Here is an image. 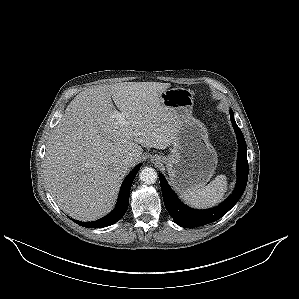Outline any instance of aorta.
Listing matches in <instances>:
<instances>
[{"label": "aorta", "mask_w": 299, "mask_h": 299, "mask_svg": "<svg viewBox=\"0 0 299 299\" xmlns=\"http://www.w3.org/2000/svg\"><path fill=\"white\" fill-rule=\"evenodd\" d=\"M139 176H140V180L148 185L154 184L158 178L157 172L155 171V169L151 167L143 168Z\"/></svg>", "instance_id": "aorta-1"}]
</instances>
